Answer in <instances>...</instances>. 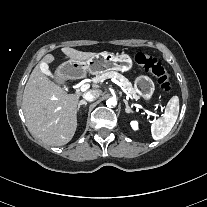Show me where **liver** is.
<instances>
[{
	"instance_id": "liver-1",
	"label": "liver",
	"mask_w": 207,
	"mask_h": 207,
	"mask_svg": "<svg viewBox=\"0 0 207 207\" xmlns=\"http://www.w3.org/2000/svg\"><path fill=\"white\" fill-rule=\"evenodd\" d=\"M64 54L69 60L61 64L56 70L55 79L59 83L68 79L85 78L87 69L92 75H106L104 80L112 78L108 70L92 71L90 64L94 62V58L107 56L108 52H82L73 48H66ZM54 60L55 58L52 55H47L44 61L33 69L23 92L22 109L27 127L38 140L46 145H62L74 137L77 129V112L83 105L81 102L86 100L84 98L85 100L80 101V96L85 93L81 94L79 90H76L75 94H68V91L52 82L43 73L42 67L45 65L48 70L47 63H52ZM74 64L78 67H74ZM67 66H73V71L67 72L65 69ZM103 67L106 68L107 66L103 64ZM50 76H52L51 73ZM98 88L99 86L94 84L93 89L88 91L95 100L103 95Z\"/></svg>"
}]
</instances>
